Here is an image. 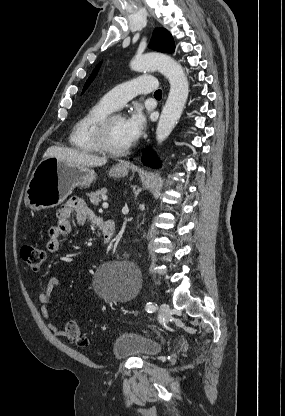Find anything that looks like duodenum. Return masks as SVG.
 <instances>
[{"label": "duodenum", "mask_w": 285, "mask_h": 416, "mask_svg": "<svg viewBox=\"0 0 285 416\" xmlns=\"http://www.w3.org/2000/svg\"><path fill=\"white\" fill-rule=\"evenodd\" d=\"M95 223L101 230L104 244L108 245L115 234L116 223L113 220H101L98 218L95 220Z\"/></svg>", "instance_id": "1"}]
</instances>
